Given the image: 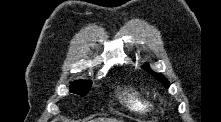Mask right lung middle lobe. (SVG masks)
I'll return each instance as SVG.
<instances>
[{
	"label": "right lung middle lobe",
	"mask_w": 221,
	"mask_h": 122,
	"mask_svg": "<svg viewBox=\"0 0 221 122\" xmlns=\"http://www.w3.org/2000/svg\"><path fill=\"white\" fill-rule=\"evenodd\" d=\"M91 88V83L86 81H78L71 85L70 92L85 95Z\"/></svg>",
	"instance_id": "right-lung-middle-lobe-1"
}]
</instances>
